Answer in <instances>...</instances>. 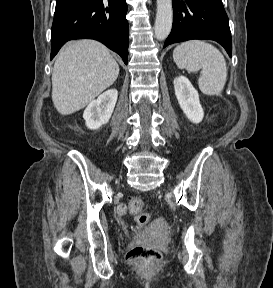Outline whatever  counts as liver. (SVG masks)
Returning <instances> with one entry per match:
<instances>
[{"label":"liver","instance_id":"6515ba94","mask_svg":"<svg viewBox=\"0 0 273 288\" xmlns=\"http://www.w3.org/2000/svg\"><path fill=\"white\" fill-rule=\"evenodd\" d=\"M119 66L103 44L83 39L68 43L52 73V101L61 115L75 113L117 79Z\"/></svg>","mask_w":273,"mask_h":288}]
</instances>
